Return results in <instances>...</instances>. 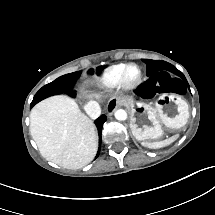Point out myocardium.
I'll return each mask as SVG.
<instances>
[{
  "label": "myocardium",
  "instance_id": "obj_1",
  "mask_svg": "<svg viewBox=\"0 0 215 215\" xmlns=\"http://www.w3.org/2000/svg\"><path fill=\"white\" fill-rule=\"evenodd\" d=\"M122 71L116 77L113 88L116 92H127L135 89L141 82V70L135 63L123 64ZM127 69L132 70L133 74L130 78H125L124 73Z\"/></svg>",
  "mask_w": 215,
  "mask_h": 215
}]
</instances>
